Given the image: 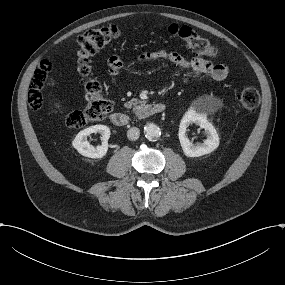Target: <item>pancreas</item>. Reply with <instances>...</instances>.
I'll return each mask as SVG.
<instances>
[{"label": "pancreas", "mask_w": 285, "mask_h": 285, "mask_svg": "<svg viewBox=\"0 0 285 285\" xmlns=\"http://www.w3.org/2000/svg\"><path fill=\"white\" fill-rule=\"evenodd\" d=\"M138 103H140V105H146L147 100H139V99H131L130 101H127L126 103H124V107L126 108H130L133 110L138 109Z\"/></svg>", "instance_id": "cf45deb5"}]
</instances>
